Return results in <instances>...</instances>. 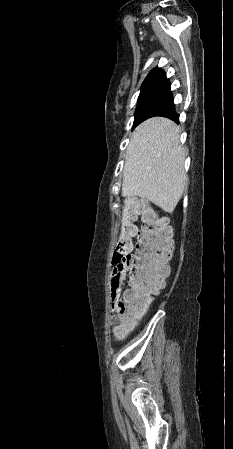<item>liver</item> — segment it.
<instances>
[{
    "mask_svg": "<svg viewBox=\"0 0 233 449\" xmlns=\"http://www.w3.org/2000/svg\"><path fill=\"white\" fill-rule=\"evenodd\" d=\"M180 129L164 117H153L133 132L127 147L122 195L139 196L171 213L188 184Z\"/></svg>",
    "mask_w": 233,
    "mask_h": 449,
    "instance_id": "6515ba94",
    "label": "liver"
}]
</instances>
